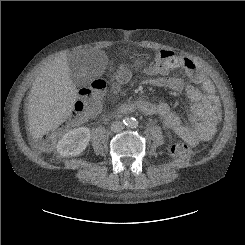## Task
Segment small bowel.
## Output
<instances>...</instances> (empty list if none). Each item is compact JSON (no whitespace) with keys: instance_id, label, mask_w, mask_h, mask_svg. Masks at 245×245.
Instances as JSON below:
<instances>
[{"instance_id":"c3829d8e","label":"small bowel","mask_w":245,"mask_h":245,"mask_svg":"<svg viewBox=\"0 0 245 245\" xmlns=\"http://www.w3.org/2000/svg\"><path fill=\"white\" fill-rule=\"evenodd\" d=\"M158 66L149 69V74L158 76L147 79L152 86L166 88L173 92H179L183 88V82L179 77L169 76L172 70H184L190 81L198 85L187 88V95L191 101L189 114L182 117L173 111L165 102L149 104L144 100L137 101V109L146 115H157L184 141L191 145L210 140L216 129L219 118V103L216 97V89L207 74L199 69L195 63L170 50L155 51L153 53ZM104 94L101 97L103 99ZM215 98L212 101V98Z\"/></svg>"}]
</instances>
